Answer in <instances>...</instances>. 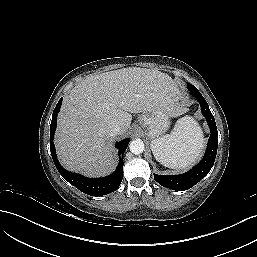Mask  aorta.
<instances>
[{"mask_svg": "<svg viewBox=\"0 0 257 257\" xmlns=\"http://www.w3.org/2000/svg\"><path fill=\"white\" fill-rule=\"evenodd\" d=\"M144 142L141 139H136L130 142L129 149L131 153L139 155L144 151Z\"/></svg>", "mask_w": 257, "mask_h": 257, "instance_id": "obj_1", "label": "aorta"}]
</instances>
